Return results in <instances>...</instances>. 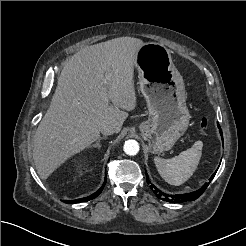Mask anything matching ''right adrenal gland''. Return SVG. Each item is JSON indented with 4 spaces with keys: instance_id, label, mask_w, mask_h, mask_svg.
<instances>
[{
    "instance_id": "right-adrenal-gland-1",
    "label": "right adrenal gland",
    "mask_w": 246,
    "mask_h": 246,
    "mask_svg": "<svg viewBox=\"0 0 246 246\" xmlns=\"http://www.w3.org/2000/svg\"><path fill=\"white\" fill-rule=\"evenodd\" d=\"M107 137L106 136H103V137H99L98 140L96 141L95 144L91 145V147H98L99 149L101 148V140H104L106 139Z\"/></svg>"
}]
</instances>
